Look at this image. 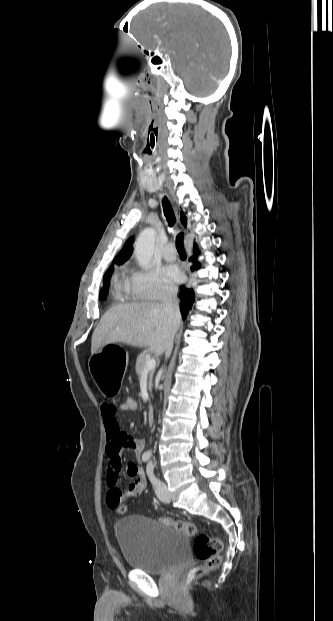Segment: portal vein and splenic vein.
I'll return each mask as SVG.
<instances>
[{
    "label": "portal vein and splenic vein",
    "instance_id": "portal-vein-and-splenic-vein-1",
    "mask_svg": "<svg viewBox=\"0 0 333 621\" xmlns=\"http://www.w3.org/2000/svg\"><path fill=\"white\" fill-rule=\"evenodd\" d=\"M155 365H156V361L154 359L148 358L143 372H148L149 370L154 369Z\"/></svg>",
    "mask_w": 333,
    "mask_h": 621
}]
</instances>
